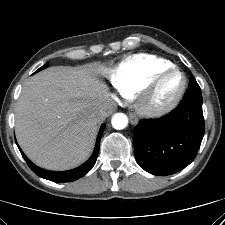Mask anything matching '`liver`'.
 Segmentation results:
<instances>
[{
  "label": "liver",
  "mask_w": 225,
  "mask_h": 225,
  "mask_svg": "<svg viewBox=\"0 0 225 225\" xmlns=\"http://www.w3.org/2000/svg\"><path fill=\"white\" fill-rule=\"evenodd\" d=\"M103 66L49 67L24 85L17 102V141L36 165L68 170L90 156L98 121L95 114L107 100L98 80Z\"/></svg>",
  "instance_id": "1"
}]
</instances>
